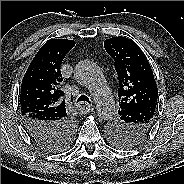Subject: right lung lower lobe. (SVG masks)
<instances>
[{
	"label": "right lung lower lobe",
	"instance_id": "obj_1",
	"mask_svg": "<svg viewBox=\"0 0 184 184\" xmlns=\"http://www.w3.org/2000/svg\"><path fill=\"white\" fill-rule=\"evenodd\" d=\"M22 118L28 134L43 147L61 145L75 127L74 122L68 118L60 121H47L30 114Z\"/></svg>",
	"mask_w": 184,
	"mask_h": 184
}]
</instances>
